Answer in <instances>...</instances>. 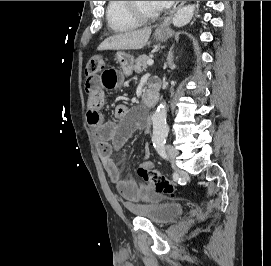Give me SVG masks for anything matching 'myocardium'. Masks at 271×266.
<instances>
[{"mask_svg": "<svg viewBox=\"0 0 271 266\" xmlns=\"http://www.w3.org/2000/svg\"><path fill=\"white\" fill-rule=\"evenodd\" d=\"M126 9L138 23H149L158 18V13L145 14L136 5V1H125Z\"/></svg>", "mask_w": 271, "mask_h": 266, "instance_id": "myocardium-1", "label": "myocardium"}]
</instances>
